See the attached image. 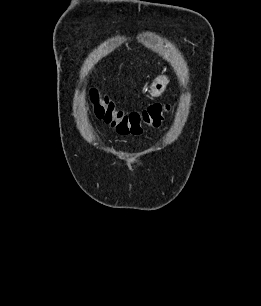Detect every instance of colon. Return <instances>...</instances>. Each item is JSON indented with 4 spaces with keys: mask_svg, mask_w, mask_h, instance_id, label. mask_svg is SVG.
Returning <instances> with one entry per match:
<instances>
[{
    "mask_svg": "<svg viewBox=\"0 0 261 306\" xmlns=\"http://www.w3.org/2000/svg\"><path fill=\"white\" fill-rule=\"evenodd\" d=\"M94 116L109 124L120 135H139L145 127H158L169 111V105L153 104L142 111L123 112L96 89L89 92Z\"/></svg>",
    "mask_w": 261,
    "mask_h": 306,
    "instance_id": "colon-1",
    "label": "colon"
}]
</instances>
